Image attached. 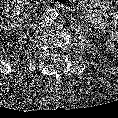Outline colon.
I'll list each match as a JSON object with an SVG mask.
<instances>
[{
	"mask_svg": "<svg viewBox=\"0 0 118 118\" xmlns=\"http://www.w3.org/2000/svg\"><path fill=\"white\" fill-rule=\"evenodd\" d=\"M29 12L30 5L28 0H6L0 22L4 26H9L20 18L27 16Z\"/></svg>",
	"mask_w": 118,
	"mask_h": 118,
	"instance_id": "obj_1",
	"label": "colon"
}]
</instances>
